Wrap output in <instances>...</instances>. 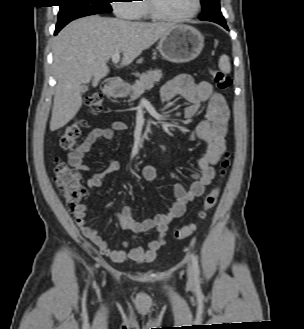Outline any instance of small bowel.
Returning a JSON list of instances; mask_svg holds the SVG:
<instances>
[{
  "label": "small bowel",
  "instance_id": "1",
  "mask_svg": "<svg viewBox=\"0 0 304 329\" xmlns=\"http://www.w3.org/2000/svg\"><path fill=\"white\" fill-rule=\"evenodd\" d=\"M162 97L164 101H170L181 97L190 104L184 108L186 119L194 118L201 106L206 104V117L193 130L187 138L190 140L200 139L207 144L206 149L201 152L198 159V172L193 174V182L189 188L177 185L174 191V201L167 213L158 215L154 219L137 221L133 217L130 207H124L115 213L116 219L122 227L130 229L135 233H144L155 230V238L147 246H136L128 251V241H123L120 248L112 249L108 242L101 237L97 230L86 225V209L81 205L80 210L74 212L76 225L81 229L82 234L96 245L99 251L114 262H123L127 259L137 263L153 260L157 253L166 245V237L169 226L179 218L185 211L187 203L200 197L209 185L214 176V166L221 159L226 149L227 124L230 118V111L221 94L213 89V86L206 81L196 83L189 75L181 74L171 80L164 88ZM128 125L122 121H113L109 126L92 130L80 147L69 154V163L79 171H87L85 163L86 155L100 139L112 138L114 132L124 131ZM119 169L117 161H109L104 171L93 173L87 180L89 188L101 186L106 174ZM161 170L156 165L143 167L142 176L144 180L151 182L157 178Z\"/></svg>",
  "mask_w": 304,
  "mask_h": 329
}]
</instances>
